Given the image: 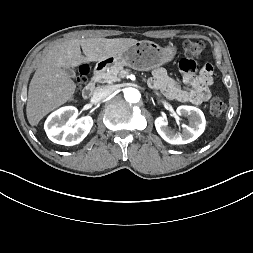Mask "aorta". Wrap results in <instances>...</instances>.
Wrapping results in <instances>:
<instances>
[{"label":"aorta","mask_w":253,"mask_h":253,"mask_svg":"<svg viewBox=\"0 0 253 253\" xmlns=\"http://www.w3.org/2000/svg\"><path fill=\"white\" fill-rule=\"evenodd\" d=\"M124 97H125L126 101H128L130 103H137L140 100L141 94L135 88H126L124 90Z\"/></svg>","instance_id":"aorta-1"}]
</instances>
